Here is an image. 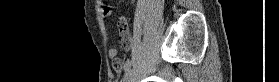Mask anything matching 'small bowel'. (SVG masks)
<instances>
[{"label":"small bowel","mask_w":279,"mask_h":82,"mask_svg":"<svg viewBox=\"0 0 279 82\" xmlns=\"http://www.w3.org/2000/svg\"><path fill=\"white\" fill-rule=\"evenodd\" d=\"M97 5H98V7H100L102 9V14L104 17H108L110 15L111 11L108 7H106L104 5V2L97 1ZM118 30H119V34H120L121 45L124 49L128 50L131 45V37H130V33H129L128 23H126V25L124 27H120L118 25ZM108 55H109V58L113 61L114 71L117 74H119L122 71L125 63L123 64V62L120 59H118L117 48L111 47L108 51Z\"/></svg>","instance_id":"1"}]
</instances>
